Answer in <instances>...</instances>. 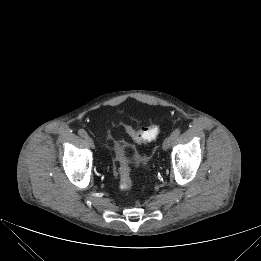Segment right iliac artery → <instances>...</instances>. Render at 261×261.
I'll list each match as a JSON object with an SVG mask.
<instances>
[{"instance_id":"obj_1","label":"right iliac artery","mask_w":261,"mask_h":261,"mask_svg":"<svg viewBox=\"0 0 261 261\" xmlns=\"http://www.w3.org/2000/svg\"><path fill=\"white\" fill-rule=\"evenodd\" d=\"M78 134H79L81 137H83V138H85L86 136H88V135H87V132H86L84 129H80V130L78 131Z\"/></svg>"}]
</instances>
